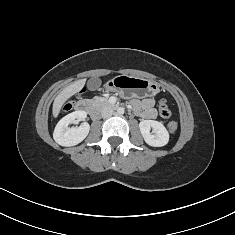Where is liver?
I'll use <instances>...</instances> for the list:
<instances>
[{"label": "liver", "mask_w": 235, "mask_h": 235, "mask_svg": "<svg viewBox=\"0 0 235 235\" xmlns=\"http://www.w3.org/2000/svg\"><path fill=\"white\" fill-rule=\"evenodd\" d=\"M85 83H86V79H80L78 81H75L71 83L70 85H68L67 87H65L56 96V98L54 99L53 108H52V114L54 118H56L59 115L63 104L73 95L78 93L84 87Z\"/></svg>", "instance_id": "1"}]
</instances>
